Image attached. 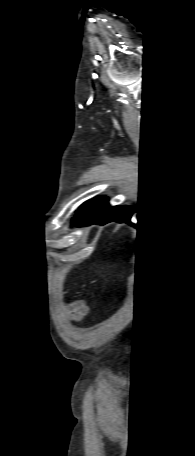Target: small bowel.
I'll return each instance as SVG.
<instances>
[{"label":"small bowel","instance_id":"small-bowel-1","mask_svg":"<svg viewBox=\"0 0 195 456\" xmlns=\"http://www.w3.org/2000/svg\"><path fill=\"white\" fill-rule=\"evenodd\" d=\"M65 308L69 317L75 321L82 319L89 310L86 303L82 300L69 302Z\"/></svg>","mask_w":195,"mask_h":456}]
</instances>
